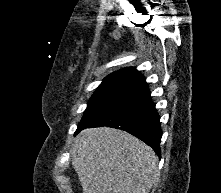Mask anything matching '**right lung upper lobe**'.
<instances>
[{"instance_id": "cb5924a9", "label": "right lung upper lobe", "mask_w": 221, "mask_h": 193, "mask_svg": "<svg viewBox=\"0 0 221 193\" xmlns=\"http://www.w3.org/2000/svg\"><path fill=\"white\" fill-rule=\"evenodd\" d=\"M111 84H125L139 86L145 89L148 88V85L144 80V76L141 75L135 68L131 67L121 69L108 75L99 87Z\"/></svg>"}]
</instances>
